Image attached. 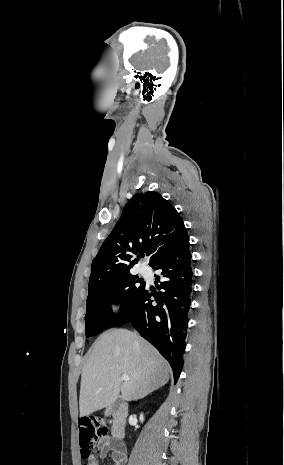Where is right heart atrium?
<instances>
[{
    "mask_svg": "<svg viewBox=\"0 0 284 465\" xmlns=\"http://www.w3.org/2000/svg\"><path fill=\"white\" fill-rule=\"evenodd\" d=\"M124 302L119 297H113L108 301L107 309L112 315H120L124 311Z\"/></svg>",
    "mask_w": 284,
    "mask_h": 465,
    "instance_id": "right-heart-atrium-1",
    "label": "right heart atrium"
}]
</instances>
